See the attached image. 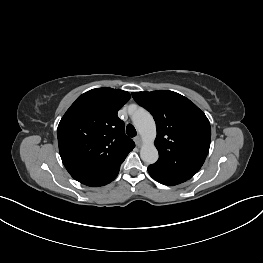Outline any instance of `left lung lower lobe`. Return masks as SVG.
I'll list each match as a JSON object with an SVG mask.
<instances>
[{
    "label": "left lung lower lobe",
    "mask_w": 263,
    "mask_h": 263,
    "mask_svg": "<svg viewBox=\"0 0 263 263\" xmlns=\"http://www.w3.org/2000/svg\"><path fill=\"white\" fill-rule=\"evenodd\" d=\"M148 172L153 179L164 185H177L188 180L180 177L166 175L151 166L148 167Z\"/></svg>",
    "instance_id": "obj_1"
}]
</instances>
